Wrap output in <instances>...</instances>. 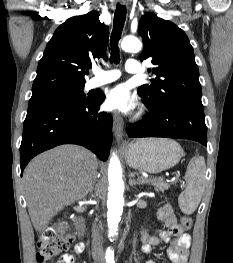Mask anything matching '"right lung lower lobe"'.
<instances>
[{"label":"right lung lower lobe","mask_w":233,"mask_h":263,"mask_svg":"<svg viewBox=\"0 0 233 263\" xmlns=\"http://www.w3.org/2000/svg\"><path fill=\"white\" fill-rule=\"evenodd\" d=\"M104 95L77 103L28 109L20 146L21 173L37 154L60 144H79L105 161L112 142V117L99 112Z\"/></svg>","instance_id":"98d812e1"}]
</instances>
